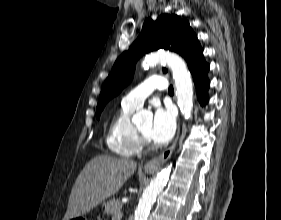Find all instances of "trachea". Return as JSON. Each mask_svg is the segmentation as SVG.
<instances>
[{
    "mask_svg": "<svg viewBox=\"0 0 281 220\" xmlns=\"http://www.w3.org/2000/svg\"><path fill=\"white\" fill-rule=\"evenodd\" d=\"M168 92H169L170 94H173V93H174V89H173V86H172V85L169 86Z\"/></svg>",
    "mask_w": 281,
    "mask_h": 220,
    "instance_id": "trachea-1",
    "label": "trachea"
}]
</instances>
